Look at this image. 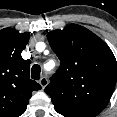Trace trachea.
I'll list each match as a JSON object with an SVG mask.
<instances>
[{"instance_id": "1", "label": "trachea", "mask_w": 117, "mask_h": 117, "mask_svg": "<svg viewBox=\"0 0 117 117\" xmlns=\"http://www.w3.org/2000/svg\"><path fill=\"white\" fill-rule=\"evenodd\" d=\"M41 68L38 64H34L31 68V78L34 80L40 79Z\"/></svg>"}]
</instances>
